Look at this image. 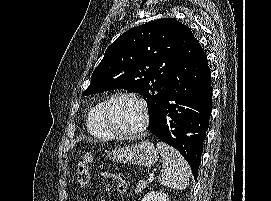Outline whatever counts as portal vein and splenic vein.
<instances>
[{"mask_svg": "<svg viewBox=\"0 0 271 201\" xmlns=\"http://www.w3.org/2000/svg\"><path fill=\"white\" fill-rule=\"evenodd\" d=\"M154 179L153 175H149L148 181H152Z\"/></svg>", "mask_w": 271, "mask_h": 201, "instance_id": "portal-vein-and-splenic-vein-1", "label": "portal vein and splenic vein"}]
</instances>
